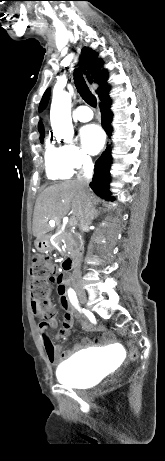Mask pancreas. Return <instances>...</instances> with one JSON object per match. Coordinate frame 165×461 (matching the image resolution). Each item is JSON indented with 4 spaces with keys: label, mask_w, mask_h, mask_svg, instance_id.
Returning a JSON list of instances; mask_svg holds the SVG:
<instances>
[{
    "label": "pancreas",
    "mask_w": 165,
    "mask_h": 461,
    "mask_svg": "<svg viewBox=\"0 0 165 461\" xmlns=\"http://www.w3.org/2000/svg\"><path fill=\"white\" fill-rule=\"evenodd\" d=\"M61 239L65 240L67 250L74 253L75 249H76V243H75L74 239L72 238V236L67 234L66 232H63V233H61L60 235H58L56 237V240H61Z\"/></svg>",
    "instance_id": "1"
}]
</instances>
